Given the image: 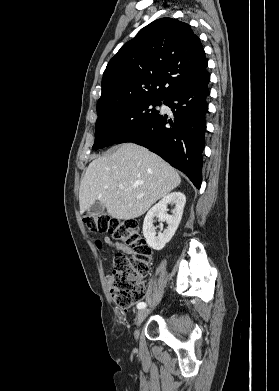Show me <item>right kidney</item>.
Wrapping results in <instances>:
<instances>
[{
  "label": "right kidney",
  "instance_id": "ca27d5eb",
  "mask_svg": "<svg viewBox=\"0 0 279 391\" xmlns=\"http://www.w3.org/2000/svg\"><path fill=\"white\" fill-rule=\"evenodd\" d=\"M185 203L186 197L183 193L172 192L164 196L147 212L143 222V235L148 246L154 250H161L166 243L171 240L181 221ZM170 204L175 205L172 215L167 214V206ZM155 217L161 222H166L168 225L167 228L164 231H160L157 236L155 227L153 226Z\"/></svg>",
  "mask_w": 279,
  "mask_h": 391
}]
</instances>
